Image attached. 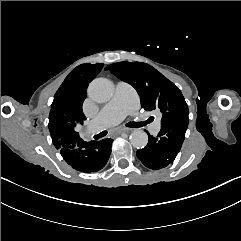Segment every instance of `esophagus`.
<instances>
[{
	"label": "esophagus",
	"mask_w": 241,
	"mask_h": 241,
	"mask_svg": "<svg viewBox=\"0 0 241 241\" xmlns=\"http://www.w3.org/2000/svg\"><path fill=\"white\" fill-rule=\"evenodd\" d=\"M128 132H129L128 128H121V129L115 131V133H118V134H120V133H128Z\"/></svg>",
	"instance_id": "1"
}]
</instances>
